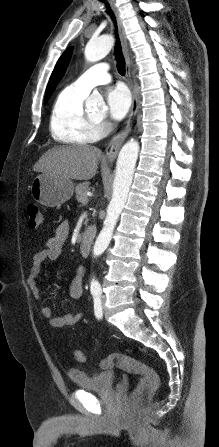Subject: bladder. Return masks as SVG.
<instances>
[{
  "label": "bladder",
  "instance_id": "1",
  "mask_svg": "<svg viewBox=\"0 0 219 447\" xmlns=\"http://www.w3.org/2000/svg\"><path fill=\"white\" fill-rule=\"evenodd\" d=\"M68 374L78 388L91 392L108 391L114 386L116 380V374L110 370L89 373L72 369Z\"/></svg>",
  "mask_w": 219,
  "mask_h": 447
}]
</instances>
